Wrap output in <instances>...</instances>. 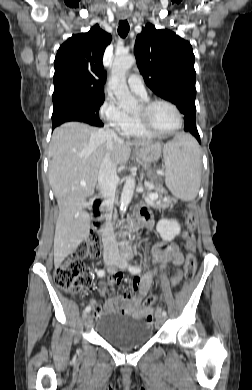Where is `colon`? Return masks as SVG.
Segmentation results:
<instances>
[{"label": "colon", "instance_id": "colon-1", "mask_svg": "<svg viewBox=\"0 0 252 390\" xmlns=\"http://www.w3.org/2000/svg\"><path fill=\"white\" fill-rule=\"evenodd\" d=\"M185 223L187 228V232L184 235L185 248L191 252L186 258L185 278L191 280L194 277L197 268L196 259L192 254L196 249V238L193 231L197 224V216L193 210L188 211ZM100 252V236L98 233L92 232L77 246L70 258L56 266L54 271L56 284L62 290L71 294H75L82 290L88 283L83 260L89 257H97L100 255ZM156 299V296H150L147 298L145 304L149 306L153 304ZM146 321L148 324H152V314L146 317Z\"/></svg>", "mask_w": 252, "mask_h": 390}]
</instances>
